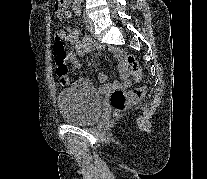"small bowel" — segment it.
<instances>
[{"mask_svg": "<svg viewBox=\"0 0 207 179\" xmlns=\"http://www.w3.org/2000/svg\"><path fill=\"white\" fill-rule=\"evenodd\" d=\"M71 17V12L66 10L62 16V19L68 20ZM54 37L64 39L74 47V51L67 52V57L71 66L74 69H79L80 63L77 59V56H84L91 52V40L87 37H82L77 29L58 30L55 32ZM110 51L118 62L119 80L109 83L107 82V76L104 73H100L98 75V81L101 84L100 90L102 92H109L116 87H128L130 84V71L124 62L126 54L119 48L112 47L110 48Z\"/></svg>", "mask_w": 207, "mask_h": 179, "instance_id": "obj_1", "label": "small bowel"}]
</instances>
